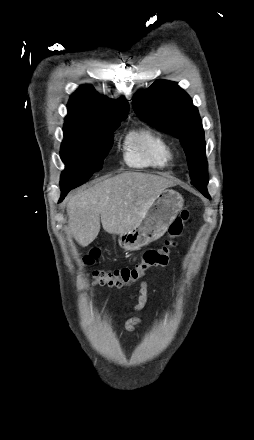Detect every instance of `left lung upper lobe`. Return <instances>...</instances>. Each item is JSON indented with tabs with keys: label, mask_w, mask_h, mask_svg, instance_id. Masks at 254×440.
<instances>
[{
	"label": "left lung upper lobe",
	"mask_w": 254,
	"mask_h": 440,
	"mask_svg": "<svg viewBox=\"0 0 254 440\" xmlns=\"http://www.w3.org/2000/svg\"><path fill=\"white\" fill-rule=\"evenodd\" d=\"M133 109L141 119L180 140L187 156L191 183L209 198L202 122L188 94L175 82L157 80L134 96Z\"/></svg>",
	"instance_id": "obj_1"
}]
</instances>
